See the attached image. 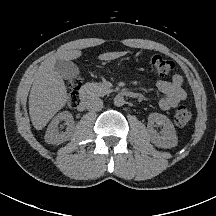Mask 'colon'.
<instances>
[{
	"instance_id": "5ec220e1",
	"label": "colon",
	"mask_w": 216,
	"mask_h": 216,
	"mask_svg": "<svg viewBox=\"0 0 216 216\" xmlns=\"http://www.w3.org/2000/svg\"><path fill=\"white\" fill-rule=\"evenodd\" d=\"M150 64L153 72L158 77H167L173 70V62L161 55H153L150 57ZM68 103L71 108H75L79 104V88L80 80L72 78L69 81ZM191 119V113L184 105H179L174 114V123L177 127H186Z\"/></svg>"
}]
</instances>
